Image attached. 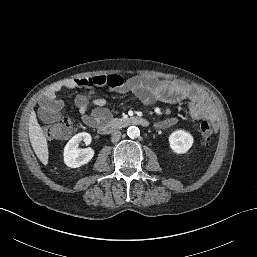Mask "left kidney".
<instances>
[{"mask_svg": "<svg viewBox=\"0 0 257 257\" xmlns=\"http://www.w3.org/2000/svg\"><path fill=\"white\" fill-rule=\"evenodd\" d=\"M193 141V136L184 130H176L169 136L170 148L177 154L186 153L191 148Z\"/></svg>", "mask_w": 257, "mask_h": 257, "instance_id": "left-kidney-1", "label": "left kidney"}]
</instances>
